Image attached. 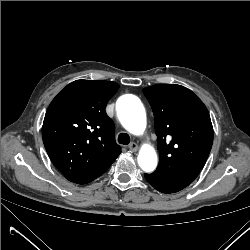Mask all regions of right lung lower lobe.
<instances>
[{"mask_svg": "<svg viewBox=\"0 0 250 250\" xmlns=\"http://www.w3.org/2000/svg\"><path fill=\"white\" fill-rule=\"evenodd\" d=\"M113 162L114 161H111V162L105 164L104 166H102L96 170L90 171V172H86L83 174H77V175H68V176H66V178L69 181L77 183V184L89 183V182L93 181L94 179H96L97 177H99L100 175H102L103 173H105Z\"/></svg>", "mask_w": 250, "mask_h": 250, "instance_id": "obj_1", "label": "right lung lower lobe"}]
</instances>
